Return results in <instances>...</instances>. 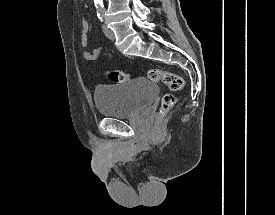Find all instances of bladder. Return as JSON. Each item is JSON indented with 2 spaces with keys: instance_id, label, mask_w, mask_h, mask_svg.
Masks as SVG:
<instances>
[{
  "instance_id": "bladder-1",
  "label": "bladder",
  "mask_w": 275,
  "mask_h": 215,
  "mask_svg": "<svg viewBox=\"0 0 275 215\" xmlns=\"http://www.w3.org/2000/svg\"><path fill=\"white\" fill-rule=\"evenodd\" d=\"M159 93L158 86L148 78L100 86L95 90L94 102L103 117L124 119L148 107Z\"/></svg>"
}]
</instances>
